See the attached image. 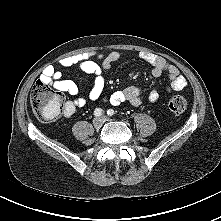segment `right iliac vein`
Segmentation results:
<instances>
[{
    "instance_id": "right-iliac-vein-1",
    "label": "right iliac vein",
    "mask_w": 221,
    "mask_h": 221,
    "mask_svg": "<svg viewBox=\"0 0 221 221\" xmlns=\"http://www.w3.org/2000/svg\"><path fill=\"white\" fill-rule=\"evenodd\" d=\"M104 123V120L101 117H96L93 120V125L95 128H100Z\"/></svg>"
}]
</instances>
